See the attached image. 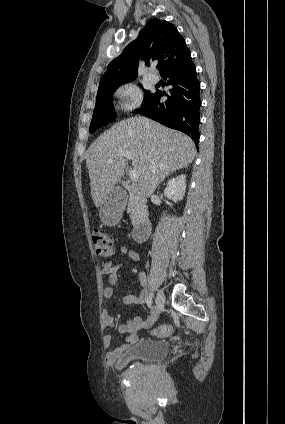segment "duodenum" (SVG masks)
I'll list each match as a JSON object with an SVG mask.
<instances>
[{
    "instance_id": "410a0bca",
    "label": "duodenum",
    "mask_w": 285,
    "mask_h": 424,
    "mask_svg": "<svg viewBox=\"0 0 285 424\" xmlns=\"http://www.w3.org/2000/svg\"><path fill=\"white\" fill-rule=\"evenodd\" d=\"M150 232H151V221L148 217H144L143 219L140 220V222L137 224L134 230L133 236H134L135 242L136 243L145 242L148 239Z\"/></svg>"
}]
</instances>
